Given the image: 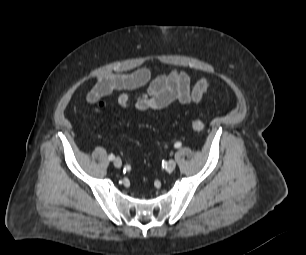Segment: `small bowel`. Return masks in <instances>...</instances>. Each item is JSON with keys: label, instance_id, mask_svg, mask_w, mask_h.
Instances as JSON below:
<instances>
[{"label": "small bowel", "instance_id": "c3829d8e", "mask_svg": "<svg viewBox=\"0 0 306 255\" xmlns=\"http://www.w3.org/2000/svg\"><path fill=\"white\" fill-rule=\"evenodd\" d=\"M145 93L131 97L130 91L146 86ZM208 87L206 78L191 83L189 76L179 70L152 78L149 68L142 67L127 73H106L98 76L87 95V101L95 104L100 98L120 92L117 102L128 110L133 103L139 112L167 108L174 102L188 104L199 102Z\"/></svg>", "mask_w": 306, "mask_h": 255}]
</instances>
